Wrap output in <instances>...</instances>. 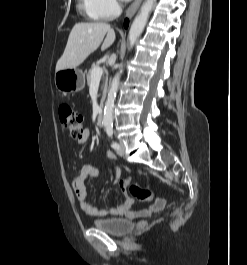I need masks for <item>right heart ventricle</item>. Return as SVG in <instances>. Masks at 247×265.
Wrapping results in <instances>:
<instances>
[{
  "instance_id": "1",
  "label": "right heart ventricle",
  "mask_w": 247,
  "mask_h": 265,
  "mask_svg": "<svg viewBox=\"0 0 247 265\" xmlns=\"http://www.w3.org/2000/svg\"><path fill=\"white\" fill-rule=\"evenodd\" d=\"M82 2H83V4H84V8H85V0H82ZM85 10H86V8H85ZM87 12V11H86ZM89 15V14H88ZM91 18H93V19H98V18H95V17H93V16H91V15H89ZM101 20H103V19H101Z\"/></svg>"
}]
</instances>
